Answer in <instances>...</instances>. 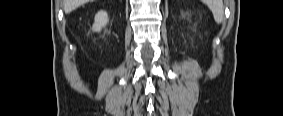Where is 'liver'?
<instances>
[{"label": "liver", "instance_id": "liver-1", "mask_svg": "<svg viewBox=\"0 0 283 116\" xmlns=\"http://www.w3.org/2000/svg\"><path fill=\"white\" fill-rule=\"evenodd\" d=\"M88 1L89 0H63L64 11L68 14Z\"/></svg>", "mask_w": 283, "mask_h": 116}]
</instances>
